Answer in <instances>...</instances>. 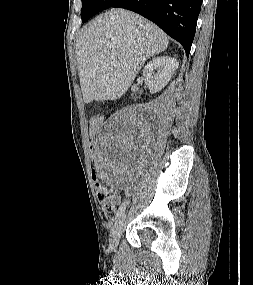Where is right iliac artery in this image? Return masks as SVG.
I'll return each instance as SVG.
<instances>
[{"mask_svg": "<svg viewBox=\"0 0 253 285\" xmlns=\"http://www.w3.org/2000/svg\"><path fill=\"white\" fill-rule=\"evenodd\" d=\"M126 205H127V202H126V201H124V202L120 205L118 211L116 212V218H119V217L122 215V213L124 212V210H125V208H126Z\"/></svg>", "mask_w": 253, "mask_h": 285, "instance_id": "right-iliac-artery-1", "label": "right iliac artery"}]
</instances>
